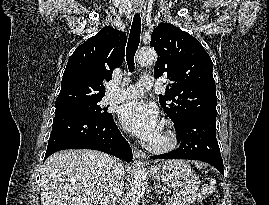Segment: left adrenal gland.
I'll list each match as a JSON object with an SVG mask.
<instances>
[{
  "label": "left adrenal gland",
  "instance_id": "obj_1",
  "mask_svg": "<svg viewBox=\"0 0 269 205\" xmlns=\"http://www.w3.org/2000/svg\"><path fill=\"white\" fill-rule=\"evenodd\" d=\"M159 187L160 186L158 184L155 186V193L158 194V195L162 194V191L159 190Z\"/></svg>",
  "mask_w": 269,
  "mask_h": 205
}]
</instances>
